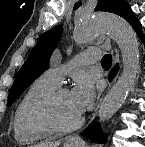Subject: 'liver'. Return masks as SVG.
<instances>
[{"label": "liver", "instance_id": "liver-1", "mask_svg": "<svg viewBox=\"0 0 145 147\" xmlns=\"http://www.w3.org/2000/svg\"><path fill=\"white\" fill-rule=\"evenodd\" d=\"M60 142H42L40 144L35 145L34 147H59Z\"/></svg>", "mask_w": 145, "mask_h": 147}]
</instances>
